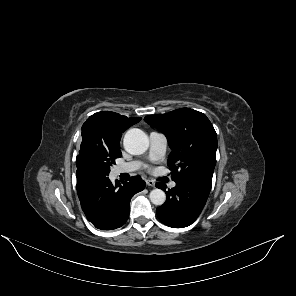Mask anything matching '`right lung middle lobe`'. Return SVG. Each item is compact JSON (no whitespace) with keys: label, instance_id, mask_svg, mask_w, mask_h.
<instances>
[{"label":"right lung middle lobe","instance_id":"dd1d6c3e","mask_svg":"<svg viewBox=\"0 0 296 296\" xmlns=\"http://www.w3.org/2000/svg\"><path fill=\"white\" fill-rule=\"evenodd\" d=\"M120 145L103 144L94 141L82 140L79 156H84L96 162L98 167L106 174L110 172V166L115 164V159L121 157Z\"/></svg>","mask_w":296,"mask_h":296}]
</instances>
